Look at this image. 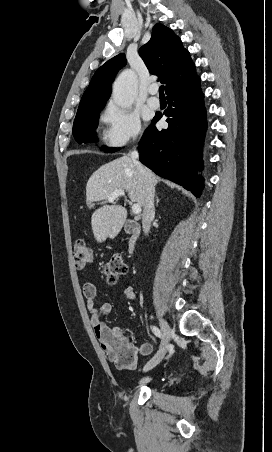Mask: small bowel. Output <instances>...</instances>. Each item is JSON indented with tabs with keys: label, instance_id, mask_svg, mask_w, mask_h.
Wrapping results in <instances>:
<instances>
[{
	"label": "small bowel",
	"instance_id": "obj_1",
	"mask_svg": "<svg viewBox=\"0 0 272 452\" xmlns=\"http://www.w3.org/2000/svg\"><path fill=\"white\" fill-rule=\"evenodd\" d=\"M83 294L85 296V302L87 310L90 313V322L95 330V334L99 340L100 346L105 350L106 339L110 336H122L125 335L123 330L119 327L110 328L102 322V317L111 313L112 304L109 302H103L99 306H96L97 289L91 282H86L83 285ZM124 296L129 300L136 299V292L133 287L129 286L124 290ZM153 344L146 342L141 344L137 351L142 356H148L153 352Z\"/></svg>",
	"mask_w": 272,
	"mask_h": 452
}]
</instances>
